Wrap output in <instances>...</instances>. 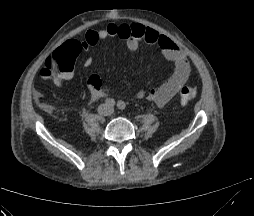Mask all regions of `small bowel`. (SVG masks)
<instances>
[{
  "mask_svg": "<svg viewBox=\"0 0 254 216\" xmlns=\"http://www.w3.org/2000/svg\"><path fill=\"white\" fill-rule=\"evenodd\" d=\"M109 37H118L125 40L127 48L130 51H136L141 42H146L159 47L166 59L175 64L174 73L162 85L148 91H141L140 97H145L154 102L158 107L165 106L179 91V89L187 82L190 76V64L185 53L167 36L147 28L138 23L130 24H109L100 30H88L83 41L67 40L61 46V49L71 51L75 43L79 42L83 49L95 45L97 42ZM53 52L50 57H55ZM91 58H87L84 66L87 68L91 65ZM73 77V71L64 72L53 78L56 86H61L64 81ZM88 84L91 90V99L97 100L104 97L110 88L106 87L100 78L92 75Z\"/></svg>",
  "mask_w": 254,
  "mask_h": 216,
  "instance_id": "c3829d8e",
  "label": "small bowel"
}]
</instances>
